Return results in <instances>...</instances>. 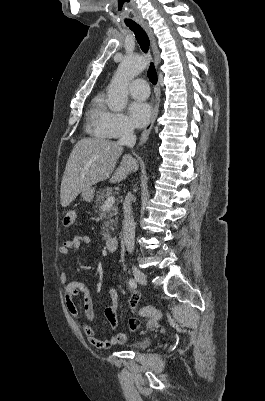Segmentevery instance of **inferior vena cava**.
<instances>
[{
	"instance_id": "inferior-vena-cava-1",
	"label": "inferior vena cava",
	"mask_w": 265,
	"mask_h": 401,
	"mask_svg": "<svg viewBox=\"0 0 265 401\" xmlns=\"http://www.w3.org/2000/svg\"><path fill=\"white\" fill-rule=\"evenodd\" d=\"M119 144H126L133 148L136 142V134L132 124H125L121 138L118 140ZM132 194L128 192L124 201V221H123V239L128 253L134 251V237H135V223L132 217V209L130 207Z\"/></svg>"
}]
</instances>
